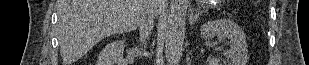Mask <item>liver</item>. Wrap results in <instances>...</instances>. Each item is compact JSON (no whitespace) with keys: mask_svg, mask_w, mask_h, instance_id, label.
I'll return each mask as SVG.
<instances>
[{"mask_svg":"<svg viewBox=\"0 0 309 65\" xmlns=\"http://www.w3.org/2000/svg\"><path fill=\"white\" fill-rule=\"evenodd\" d=\"M165 2H156L155 14ZM151 0H57L58 40L64 65H72L99 41L135 30Z\"/></svg>","mask_w":309,"mask_h":65,"instance_id":"1","label":"liver"}]
</instances>
